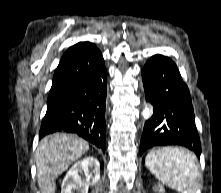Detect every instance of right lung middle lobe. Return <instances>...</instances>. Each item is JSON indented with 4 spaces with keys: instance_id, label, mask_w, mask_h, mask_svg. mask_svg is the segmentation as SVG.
I'll list each match as a JSON object with an SVG mask.
<instances>
[{
    "instance_id": "right-lung-middle-lobe-1",
    "label": "right lung middle lobe",
    "mask_w": 221,
    "mask_h": 193,
    "mask_svg": "<svg viewBox=\"0 0 221 193\" xmlns=\"http://www.w3.org/2000/svg\"><path fill=\"white\" fill-rule=\"evenodd\" d=\"M59 108H60V105H59L58 101L48 102V104H47V112H46L45 116L50 115V114L56 112Z\"/></svg>"
}]
</instances>
